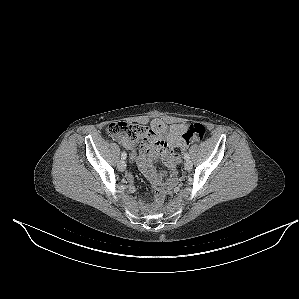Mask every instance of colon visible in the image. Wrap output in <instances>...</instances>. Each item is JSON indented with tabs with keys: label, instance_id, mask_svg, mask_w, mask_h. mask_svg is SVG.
I'll use <instances>...</instances> for the list:
<instances>
[{
	"label": "colon",
	"instance_id": "colon-1",
	"mask_svg": "<svg viewBox=\"0 0 299 299\" xmlns=\"http://www.w3.org/2000/svg\"><path fill=\"white\" fill-rule=\"evenodd\" d=\"M107 132L113 138L136 142L148 134V127L140 124L120 121L111 123L107 128ZM205 134L206 127L201 123H194L188 126L183 135V139L188 144L200 142L203 140ZM170 198L171 192L168 189L157 191L154 206L159 207L163 203L169 201Z\"/></svg>",
	"mask_w": 299,
	"mask_h": 299
}]
</instances>
